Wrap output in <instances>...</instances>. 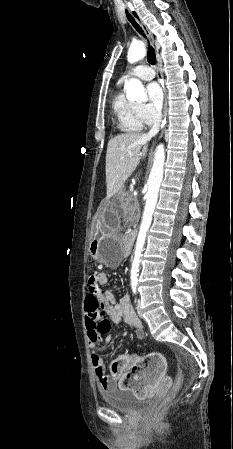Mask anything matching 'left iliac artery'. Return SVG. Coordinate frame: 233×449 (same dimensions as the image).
I'll use <instances>...</instances> for the list:
<instances>
[{"label": "left iliac artery", "instance_id": "obj_1", "mask_svg": "<svg viewBox=\"0 0 233 449\" xmlns=\"http://www.w3.org/2000/svg\"><path fill=\"white\" fill-rule=\"evenodd\" d=\"M133 293L136 294V286H132Z\"/></svg>", "mask_w": 233, "mask_h": 449}]
</instances>
